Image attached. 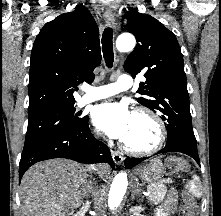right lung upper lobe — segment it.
Masks as SVG:
<instances>
[{"label": "right lung upper lobe", "instance_id": "obj_1", "mask_svg": "<svg viewBox=\"0 0 221 216\" xmlns=\"http://www.w3.org/2000/svg\"><path fill=\"white\" fill-rule=\"evenodd\" d=\"M101 62L98 26L85 7L46 23L31 52L28 115L75 103L74 90Z\"/></svg>", "mask_w": 221, "mask_h": 216}]
</instances>
